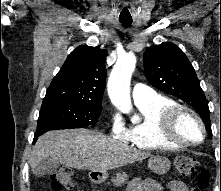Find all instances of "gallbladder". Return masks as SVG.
Listing matches in <instances>:
<instances>
[{
	"mask_svg": "<svg viewBox=\"0 0 221 191\" xmlns=\"http://www.w3.org/2000/svg\"><path fill=\"white\" fill-rule=\"evenodd\" d=\"M59 165L60 163L57 160L46 158L35 167L33 173L36 177H42L46 174L54 172L59 167Z\"/></svg>",
	"mask_w": 221,
	"mask_h": 191,
	"instance_id": "bac80fb5",
	"label": "gallbladder"
}]
</instances>
